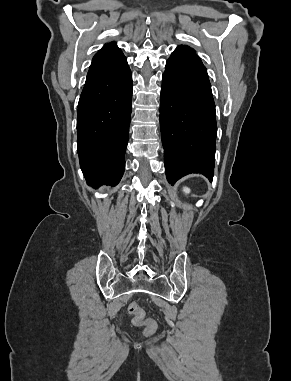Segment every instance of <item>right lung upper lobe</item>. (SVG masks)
<instances>
[{
	"instance_id": "1",
	"label": "right lung upper lobe",
	"mask_w": 291,
	"mask_h": 381,
	"mask_svg": "<svg viewBox=\"0 0 291 381\" xmlns=\"http://www.w3.org/2000/svg\"><path fill=\"white\" fill-rule=\"evenodd\" d=\"M114 47H116V44H115V42H112V43L106 44V45L103 47V49H105V48H114Z\"/></svg>"
}]
</instances>
